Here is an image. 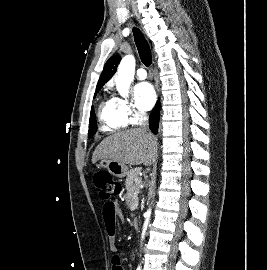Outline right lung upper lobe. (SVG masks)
I'll use <instances>...</instances> for the list:
<instances>
[{"instance_id": "right-lung-upper-lobe-1", "label": "right lung upper lobe", "mask_w": 267, "mask_h": 270, "mask_svg": "<svg viewBox=\"0 0 267 270\" xmlns=\"http://www.w3.org/2000/svg\"><path fill=\"white\" fill-rule=\"evenodd\" d=\"M121 61L120 55L112 56L105 64L101 76L99 78L96 90H100L105 83H107L110 78L115 74L117 66Z\"/></svg>"}]
</instances>
